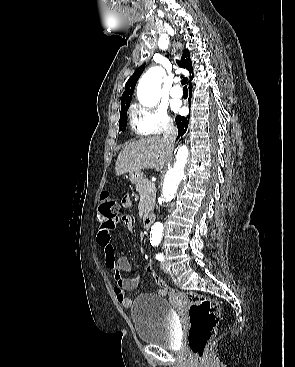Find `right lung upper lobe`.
<instances>
[{"label":"right lung upper lobe","instance_id":"right-lung-upper-lobe-1","mask_svg":"<svg viewBox=\"0 0 295 367\" xmlns=\"http://www.w3.org/2000/svg\"><path fill=\"white\" fill-rule=\"evenodd\" d=\"M178 64L180 67L188 70L190 72V75L188 77L183 78V82L184 83H188L189 88L192 87L191 81L193 79V69H192V63L190 60V54L188 50H185L182 54V58L181 61H178ZM145 68V65H142L141 67H139L137 70H135V72L133 73V75L128 79V81L126 82V86H125V91L122 95L121 98V106L126 104V103H131V99H132V94L134 92V88L135 85L140 77V75L142 74L143 70Z\"/></svg>","mask_w":295,"mask_h":367}]
</instances>
